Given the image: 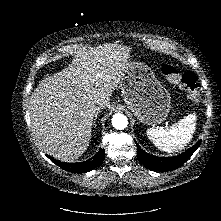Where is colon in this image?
Wrapping results in <instances>:
<instances>
[{
    "mask_svg": "<svg viewBox=\"0 0 221 221\" xmlns=\"http://www.w3.org/2000/svg\"><path fill=\"white\" fill-rule=\"evenodd\" d=\"M161 73L166 80L180 86L191 101H197L200 97L197 77L192 72H180L172 65H164Z\"/></svg>",
    "mask_w": 221,
    "mask_h": 221,
    "instance_id": "colon-1",
    "label": "colon"
}]
</instances>
